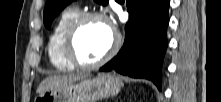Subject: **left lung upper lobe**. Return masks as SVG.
Here are the masks:
<instances>
[{
    "instance_id": "left-lung-upper-lobe-1",
    "label": "left lung upper lobe",
    "mask_w": 221,
    "mask_h": 102,
    "mask_svg": "<svg viewBox=\"0 0 221 102\" xmlns=\"http://www.w3.org/2000/svg\"><path fill=\"white\" fill-rule=\"evenodd\" d=\"M100 4L106 5L105 0H95ZM72 0H46V7L44 9V25L46 28L51 27L53 19L68 5Z\"/></svg>"
}]
</instances>
